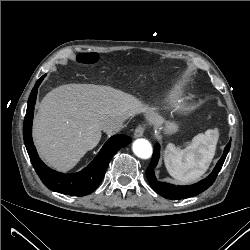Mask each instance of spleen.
<instances>
[{
    "instance_id": "spleen-1",
    "label": "spleen",
    "mask_w": 250,
    "mask_h": 250,
    "mask_svg": "<svg viewBox=\"0 0 250 250\" xmlns=\"http://www.w3.org/2000/svg\"><path fill=\"white\" fill-rule=\"evenodd\" d=\"M217 140L218 132L208 130L195 136L184 149L169 143L164 155L167 171L183 183L197 180L208 169L215 155Z\"/></svg>"
}]
</instances>
